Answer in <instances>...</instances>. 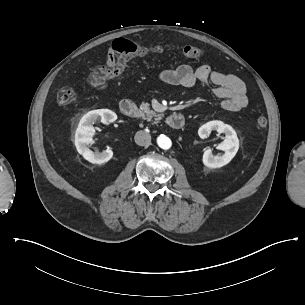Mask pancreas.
I'll list each match as a JSON object with an SVG mask.
<instances>
[{
	"instance_id": "cf45deb5",
	"label": "pancreas",
	"mask_w": 305,
	"mask_h": 305,
	"mask_svg": "<svg viewBox=\"0 0 305 305\" xmlns=\"http://www.w3.org/2000/svg\"><path fill=\"white\" fill-rule=\"evenodd\" d=\"M139 116L145 120L151 121L154 119V123H159L161 120V117H158L157 113L154 111H151L149 109V104L148 103H139Z\"/></svg>"
}]
</instances>
